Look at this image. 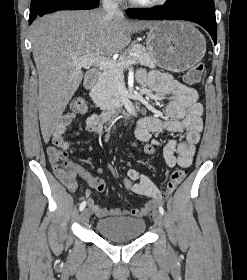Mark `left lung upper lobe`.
<instances>
[{
    "instance_id": "1",
    "label": "left lung upper lobe",
    "mask_w": 247,
    "mask_h": 280,
    "mask_svg": "<svg viewBox=\"0 0 247 280\" xmlns=\"http://www.w3.org/2000/svg\"><path fill=\"white\" fill-rule=\"evenodd\" d=\"M190 0H168V4L173 5V4H181V3H185L188 2Z\"/></svg>"
}]
</instances>
